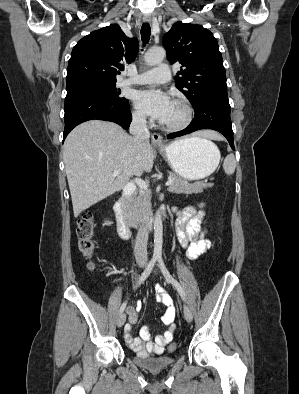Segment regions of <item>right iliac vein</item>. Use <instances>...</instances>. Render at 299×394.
I'll return each mask as SVG.
<instances>
[{"label": "right iliac vein", "instance_id": "right-iliac-vein-1", "mask_svg": "<svg viewBox=\"0 0 299 394\" xmlns=\"http://www.w3.org/2000/svg\"><path fill=\"white\" fill-rule=\"evenodd\" d=\"M141 268H143V265H141ZM126 321V314L121 313L117 319V326L122 327Z\"/></svg>", "mask_w": 299, "mask_h": 394}]
</instances>
